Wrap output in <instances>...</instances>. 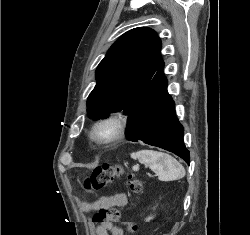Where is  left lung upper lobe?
Segmentation results:
<instances>
[{
	"mask_svg": "<svg viewBox=\"0 0 250 235\" xmlns=\"http://www.w3.org/2000/svg\"><path fill=\"white\" fill-rule=\"evenodd\" d=\"M161 41L155 31L139 27L123 34L96 70L97 84L87 100L90 118L130 114L154 75L163 67Z\"/></svg>",
	"mask_w": 250,
	"mask_h": 235,
	"instance_id": "left-lung-upper-lobe-1",
	"label": "left lung upper lobe"
}]
</instances>
